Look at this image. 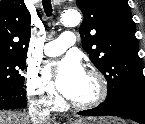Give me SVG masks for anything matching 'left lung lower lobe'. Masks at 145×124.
<instances>
[{
  "mask_svg": "<svg viewBox=\"0 0 145 124\" xmlns=\"http://www.w3.org/2000/svg\"><path fill=\"white\" fill-rule=\"evenodd\" d=\"M78 114L83 116H120L134 120L139 124H145V97L124 94Z\"/></svg>",
  "mask_w": 145,
  "mask_h": 124,
  "instance_id": "0a47b994",
  "label": "left lung lower lobe"
}]
</instances>
